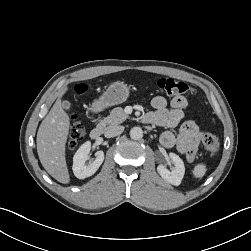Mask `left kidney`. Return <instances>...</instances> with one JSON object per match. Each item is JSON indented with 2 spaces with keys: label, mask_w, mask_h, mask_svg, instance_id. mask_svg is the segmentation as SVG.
<instances>
[{
  "label": "left kidney",
  "mask_w": 251,
  "mask_h": 251,
  "mask_svg": "<svg viewBox=\"0 0 251 251\" xmlns=\"http://www.w3.org/2000/svg\"><path fill=\"white\" fill-rule=\"evenodd\" d=\"M169 157L175 166L172 171H169L164 165L160 164L157 167V172L168 183L179 186L185 173L184 163L182 159L175 153H170Z\"/></svg>",
  "instance_id": "obj_1"
}]
</instances>
